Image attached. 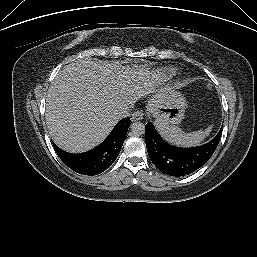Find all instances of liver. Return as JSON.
Segmentation results:
<instances>
[{"label": "liver", "mask_w": 257, "mask_h": 257, "mask_svg": "<svg viewBox=\"0 0 257 257\" xmlns=\"http://www.w3.org/2000/svg\"><path fill=\"white\" fill-rule=\"evenodd\" d=\"M165 88L143 68L77 60L62 68L46 99V123L53 141L62 149L80 153L100 142L119 121L117 111L150 96L149 110L160 103Z\"/></svg>", "instance_id": "1"}]
</instances>
